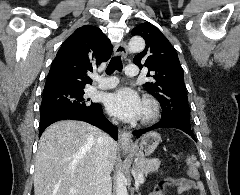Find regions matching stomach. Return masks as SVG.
<instances>
[{"label":"stomach","mask_w":240,"mask_h":195,"mask_svg":"<svg viewBox=\"0 0 240 195\" xmlns=\"http://www.w3.org/2000/svg\"><path fill=\"white\" fill-rule=\"evenodd\" d=\"M161 141V135L158 131H147L143 133L139 139L134 141L133 145H123L126 151L129 153H134L136 157H144V159H149L147 155H151L155 151L157 145Z\"/></svg>","instance_id":"stomach-1"}]
</instances>
